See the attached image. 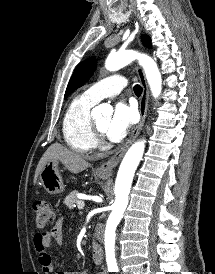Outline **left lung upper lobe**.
Wrapping results in <instances>:
<instances>
[{
    "label": "left lung upper lobe",
    "mask_w": 215,
    "mask_h": 274,
    "mask_svg": "<svg viewBox=\"0 0 215 274\" xmlns=\"http://www.w3.org/2000/svg\"><path fill=\"white\" fill-rule=\"evenodd\" d=\"M143 44L151 48V39L148 35L142 36ZM96 68V60L95 58H89L84 62H81L77 68L75 69L69 83L67 89L65 91L64 99L68 97L74 90L82 86L94 73Z\"/></svg>",
    "instance_id": "5c2ea615"
}]
</instances>
